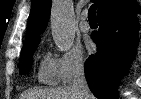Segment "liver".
<instances>
[{
	"instance_id": "6515ba94",
	"label": "liver",
	"mask_w": 141,
	"mask_h": 99,
	"mask_svg": "<svg viewBox=\"0 0 141 99\" xmlns=\"http://www.w3.org/2000/svg\"><path fill=\"white\" fill-rule=\"evenodd\" d=\"M72 86L55 89L31 88L21 93L19 99H80Z\"/></svg>"
}]
</instances>
